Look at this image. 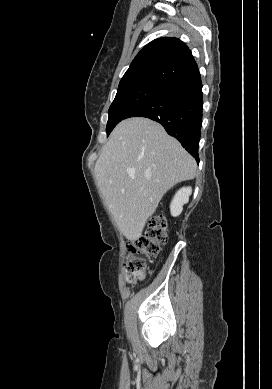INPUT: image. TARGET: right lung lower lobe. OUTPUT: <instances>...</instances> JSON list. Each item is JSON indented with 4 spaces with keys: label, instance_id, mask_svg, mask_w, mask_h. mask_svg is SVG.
Masks as SVG:
<instances>
[{
    "label": "right lung lower lobe",
    "instance_id": "obj_1",
    "mask_svg": "<svg viewBox=\"0 0 272 389\" xmlns=\"http://www.w3.org/2000/svg\"><path fill=\"white\" fill-rule=\"evenodd\" d=\"M202 105V82L197 69L164 85L130 110L124 119L146 117L159 122L199 162Z\"/></svg>",
    "mask_w": 272,
    "mask_h": 389
}]
</instances>
